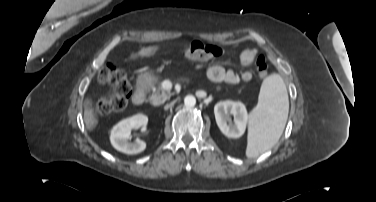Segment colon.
Instances as JSON below:
<instances>
[{
    "instance_id": "5ec220e1",
    "label": "colon",
    "mask_w": 376,
    "mask_h": 202,
    "mask_svg": "<svg viewBox=\"0 0 376 202\" xmlns=\"http://www.w3.org/2000/svg\"><path fill=\"white\" fill-rule=\"evenodd\" d=\"M182 55L194 61H208L218 59L225 55V50L215 44L192 41L183 46ZM257 75L265 79L269 75V67L263 55L255 59ZM98 81L101 84H109L113 87L110 96L100 99L96 103V111L100 114H109L124 109L130 99L132 90L131 84L123 70L113 64H107L99 71Z\"/></svg>"
}]
</instances>
